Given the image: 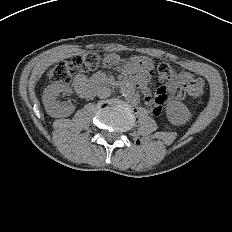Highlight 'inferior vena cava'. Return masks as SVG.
<instances>
[{"mask_svg":"<svg viewBox=\"0 0 232 232\" xmlns=\"http://www.w3.org/2000/svg\"><path fill=\"white\" fill-rule=\"evenodd\" d=\"M111 95V89L105 86L97 88V96L101 99H105Z\"/></svg>","mask_w":232,"mask_h":232,"instance_id":"obj_1","label":"inferior vena cava"}]
</instances>
